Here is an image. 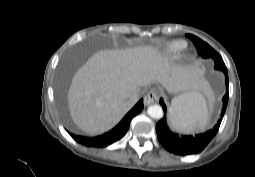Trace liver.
<instances>
[{
    "label": "liver",
    "mask_w": 255,
    "mask_h": 177,
    "mask_svg": "<svg viewBox=\"0 0 255 177\" xmlns=\"http://www.w3.org/2000/svg\"><path fill=\"white\" fill-rule=\"evenodd\" d=\"M152 82L173 94L208 87L200 71L171 64L151 46L101 50L73 76L67 95L72 120L90 135L102 134L132 108L130 95Z\"/></svg>",
    "instance_id": "1"
}]
</instances>
